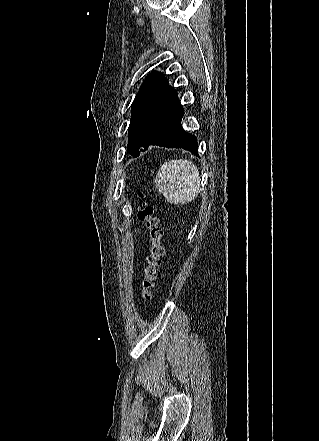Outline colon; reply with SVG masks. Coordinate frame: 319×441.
Returning <instances> with one entry per match:
<instances>
[{"mask_svg":"<svg viewBox=\"0 0 319 441\" xmlns=\"http://www.w3.org/2000/svg\"><path fill=\"white\" fill-rule=\"evenodd\" d=\"M144 198L145 194L139 192L138 199L140 200V204L138 208V218L144 223L151 240L150 252L147 257V267L141 282V298L144 302H147L151 299L155 281L160 276L164 247L162 245L163 230L159 226V220L154 215L153 206L145 201Z\"/></svg>","mask_w":319,"mask_h":441,"instance_id":"colon-1","label":"colon"}]
</instances>
